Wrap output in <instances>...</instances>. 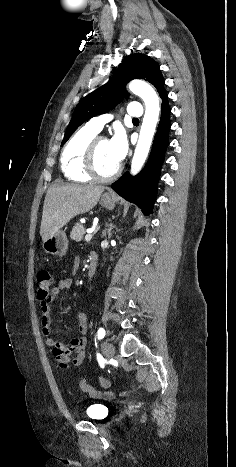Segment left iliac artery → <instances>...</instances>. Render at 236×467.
Wrapping results in <instances>:
<instances>
[{
    "label": "left iliac artery",
    "mask_w": 236,
    "mask_h": 467,
    "mask_svg": "<svg viewBox=\"0 0 236 467\" xmlns=\"http://www.w3.org/2000/svg\"><path fill=\"white\" fill-rule=\"evenodd\" d=\"M105 334H106V332H105L104 328H99V329H98L97 337H98L99 340L103 339V338L105 337ZM97 359H98V361H99L100 366H101V367H104V365H103V363H102V360H101V357H100L99 354L97 355Z\"/></svg>",
    "instance_id": "obj_1"
}]
</instances>
